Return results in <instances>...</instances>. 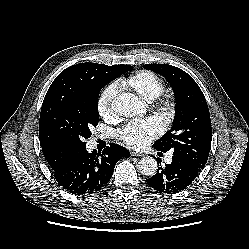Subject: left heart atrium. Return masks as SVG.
Returning a JSON list of instances; mask_svg holds the SVG:
<instances>
[{"mask_svg": "<svg viewBox=\"0 0 249 249\" xmlns=\"http://www.w3.org/2000/svg\"><path fill=\"white\" fill-rule=\"evenodd\" d=\"M162 131V124L156 117L135 119L119 131V138L127 146L134 149L145 147Z\"/></svg>", "mask_w": 249, "mask_h": 249, "instance_id": "39dd6f15", "label": "left heart atrium"}]
</instances>
